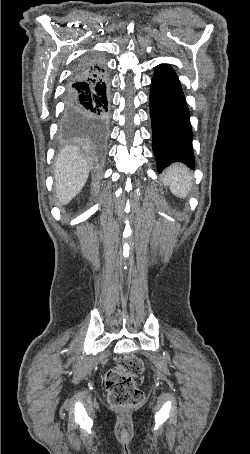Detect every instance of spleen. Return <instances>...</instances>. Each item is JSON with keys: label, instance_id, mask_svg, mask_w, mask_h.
<instances>
[{"label": "spleen", "instance_id": "3e777b00", "mask_svg": "<svg viewBox=\"0 0 250 454\" xmlns=\"http://www.w3.org/2000/svg\"><path fill=\"white\" fill-rule=\"evenodd\" d=\"M163 182L174 195L185 198L192 187V175L182 164H174L164 173Z\"/></svg>", "mask_w": 250, "mask_h": 454}]
</instances>
